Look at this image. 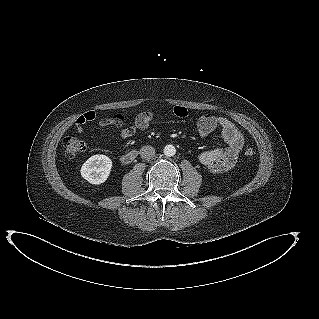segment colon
<instances>
[{
	"mask_svg": "<svg viewBox=\"0 0 319 319\" xmlns=\"http://www.w3.org/2000/svg\"><path fill=\"white\" fill-rule=\"evenodd\" d=\"M93 118V113L88 112L81 116L77 120V122L80 121L86 123L87 121H90ZM63 145L65 149V155L68 158L76 157L77 155L83 153L87 148L86 143L74 134L67 135L63 140ZM255 154V150L249 146H247L243 151V155L247 160H252L255 157Z\"/></svg>",
	"mask_w": 319,
	"mask_h": 319,
	"instance_id": "colon-1",
	"label": "colon"
}]
</instances>
